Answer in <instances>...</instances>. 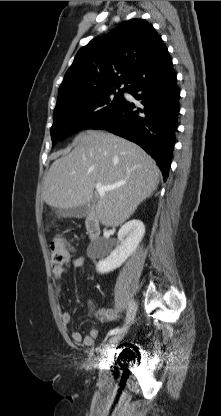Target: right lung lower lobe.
<instances>
[{"instance_id": "right-lung-lower-lobe-1", "label": "right lung lower lobe", "mask_w": 221, "mask_h": 416, "mask_svg": "<svg viewBox=\"0 0 221 416\" xmlns=\"http://www.w3.org/2000/svg\"><path fill=\"white\" fill-rule=\"evenodd\" d=\"M128 92L139 104L124 101L112 118L94 129H105L140 145L168 177L179 113L180 93L173 70L165 77L135 85Z\"/></svg>"}]
</instances>
